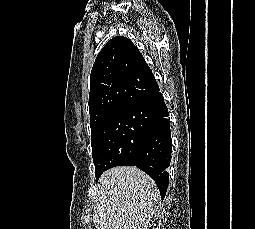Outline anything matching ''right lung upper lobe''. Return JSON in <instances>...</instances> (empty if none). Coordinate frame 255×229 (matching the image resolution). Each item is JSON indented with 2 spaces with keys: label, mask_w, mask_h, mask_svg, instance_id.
Instances as JSON below:
<instances>
[{
  "label": "right lung upper lobe",
  "mask_w": 255,
  "mask_h": 229,
  "mask_svg": "<svg viewBox=\"0 0 255 229\" xmlns=\"http://www.w3.org/2000/svg\"><path fill=\"white\" fill-rule=\"evenodd\" d=\"M156 80L133 42L117 36L97 55L90 74V128L150 95Z\"/></svg>",
  "instance_id": "cb5924a9"
}]
</instances>
